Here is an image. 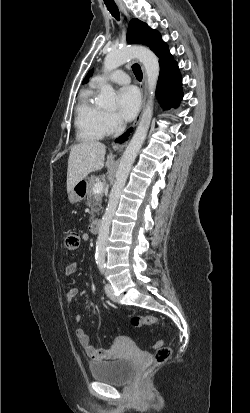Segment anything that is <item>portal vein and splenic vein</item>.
<instances>
[{"instance_id": "1", "label": "portal vein and splenic vein", "mask_w": 250, "mask_h": 413, "mask_svg": "<svg viewBox=\"0 0 250 413\" xmlns=\"http://www.w3.org/2000/svg\"><path fill=\"white\" fill-rule=\"evenodd\" d=\"M102 190H103V183L101 181H97L94 184L93 192L97 194V193H100Z\"/></svg>"}]
</instances>
